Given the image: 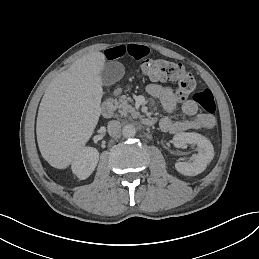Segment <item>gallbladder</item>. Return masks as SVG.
Returning <instances> with one entry per match:
<instances>
[{"mask_svg":"<svg viewBox=\"0 0 259 259\" xmlns=\"http://www.w3.org/2000/svg\"><path fill=\"white\" fill-rule=\"evenodd\" d=\"M124 66L119 62H108L104 65L103 70L99 74L102 85L110 86L119 81L124 76Z\"/></svg>","mask_w":259,"mask_h":259,"instance_id":"obj_1","label":"gallbladder"}]
</instances>
